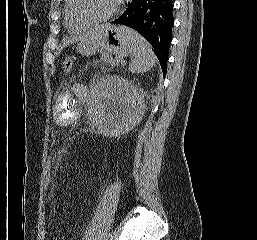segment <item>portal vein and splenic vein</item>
<instances>
[{
  "label": "portal vein and splenic vein",
  "instance_id": "obj_1",
  "mask_svg": "<svg viewBox=\"0 0 257 240\" xmlns=\"http://www.w3.org/2000/svg\"><path fill=\"white\" fill-rule=\"evenodd\" d=\"M121 59L119 57H117V61H120Z\"/></svg>",
  "mask_w": 257,
  "mask_h": 240
}]
</instances>
